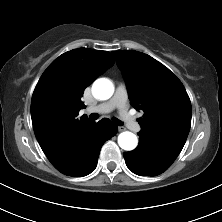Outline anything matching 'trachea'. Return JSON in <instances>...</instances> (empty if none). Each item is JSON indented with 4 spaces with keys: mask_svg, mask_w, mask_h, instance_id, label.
Segmentation results:
<instances>
[{
    "mask_svg": "<svg viewBox=\"0 0 222 222\" xmlns=\"http://www.w3.org/2000/svg\"><path fill=\"white\" fill-rule=\"evenodd\" d=\"M89 117H90L91 120H96V119H98L99 115H98V114H95V113H92V114H90ZM112 121H113L116 125H118V126L123 125V123H122L119 119H117V118H112Z\"/></svg>",
    "mask_w": 222,
    "mask_h": 222,
    "instance_id": "1",
    "label": "trachea"
}]
</instances>
